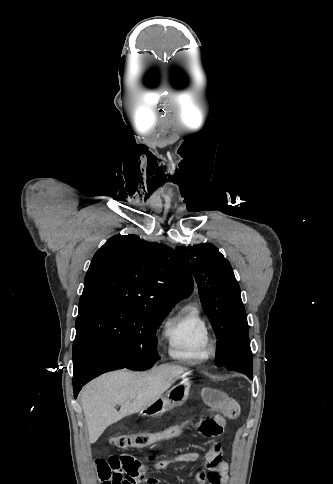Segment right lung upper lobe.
Listing matches in <instances>:
<instances>
[{"label": "right lung upper lobe", "instance_id": "cb5924a9", "mask_svg": "<svg viewBox=\"0 0 333 484\" xmlns=\"http://www.w3.org/2000/svg\"><path fill=\"white\" fill-rule=\"evenodd\" d=\"M192 291L190 270L174 249L136 235H117L95 253L79 306L102 303L168 312Z\"/></svg>", "mask_w": 333, "mask_h": 484}]
</instances>
